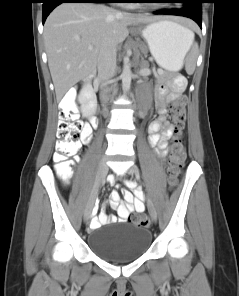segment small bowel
Segmentation results:
<instances>
[{"label":"small bowel","mask_w":239,"mask_h":296,"mask_svg":"<svg viewBox=\"0 0 239 296\" xmlns=\"http://www.w3.org/2000/svg\"><path fill=\"white\" fill-rule=\"evenodd\" d=\"M185 87V80L177 78L172 85H160L156 90L155 108L158 113L157 117L149 124V143L155 146L160 156L164 157L168 152V140L172 136L173 126L167 118L166 105L169 102L178 100ZM92 126L85 123L81 130V141L86 144L91 140ZM115 176L111 177V181L115 182ZM122 195L126 204L121 202L120 194L114 190L111 193L110 206L116 210L118 218L115 216H107L104 213L96 215L91 222V229H96L101 225L115 222H126L133 212H142L145 209L146 194L136 186L134 182H127V188L122 189ZM97 213V212H96ZM94 213V214H96Z\"/></svg>","instance_id":"obj_1"}]
</instances>
